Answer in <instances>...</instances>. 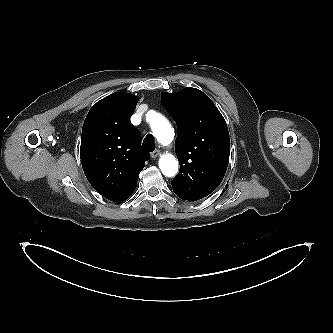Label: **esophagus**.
I'll return each mask as SVG.
<instances>
[{
	"label": "esophagus",
	"instance_id": "1",
	"mask_svg": "<svg viewBox=\"0 0 333 333\" xmlns=\"http://www.w3.org/2000/svg\"><path fill=\"white\" fill-rule=\"evenodd\" d=\"M159 155H160V151L157 149L150 153V156L153 159L157 158Z\"/></svg>",
	"mask_w": 333,
	"mask_h": 333
}]
</instances>
